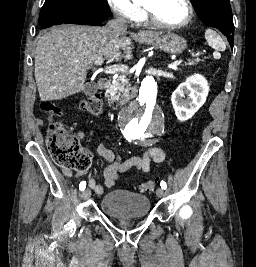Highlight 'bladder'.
I'll return each mask as SVG.
<instances>
[{
	"label": "bladder",
	"instance_id": "bladder-1",
	"mask_svg": "<svg viewBox=\"0 0 256 267\" xmlns=\"http://www.w3.org/2000/svg\"><path fill=\"white\" fill-rule=\"evenodd\" d=\"M100 209L116 218H139L150 213V199L141 194L116 189L102 196Z\"/></svg>",
	"mask_w": 256,
	"mask_h": 267
}]
</instances>
